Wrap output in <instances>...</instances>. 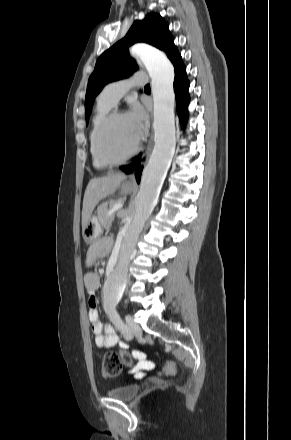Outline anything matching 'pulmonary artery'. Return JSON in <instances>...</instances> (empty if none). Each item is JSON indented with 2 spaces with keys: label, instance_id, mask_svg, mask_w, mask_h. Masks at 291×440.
Listing matches in <instances>:
<instances>
[{
  "label": "pulmonary artery",
  "instance_id": "1",
  "mask_svg": "<svg viewBox=\"0 0 291 440\" xmlns=\"http://www.w3.org/2000/svg\"><path fill=\"white\" fill-rule=\"evenodd\" d=\"M146 82L143 73H135L131 77L108 83L100 92L98 98L108 106H115L118 101L134 86H142Z\"/></svg>",
  "mask_w": 291,
  "mask_h": 440
}]
</instances>
